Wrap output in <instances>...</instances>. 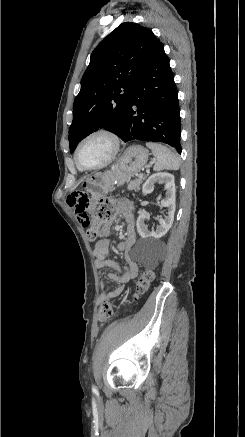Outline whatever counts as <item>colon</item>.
Wrapping results in <instances>:
<instances>
[{"label": "colon", "mask_w": 245, "mask_h": 437, "mask_svg": "<svg viewBox=\"0 0 245 437\" xmlns=\"http://www.w3.org/2000/svg\"><path fill=\"white\" fill-rule=\"evenodd\" d=\"M111 210L112 201L110 199H102L94 208L91 213L92 227L86 229V234L90 241H95L99 238L101 234L100 226L109 219ZM153 279L154 272L152 270H145L141 273L135 285V300L148 290ZM115 307V303L112 300H107L101 305L98 312V322L100 326L113 317Z\"/></svg>", "instance_id": "obj_1"}]
</instances>
